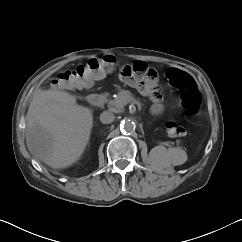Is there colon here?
<instances>
[{
	"label": "colon",
	"mask_w": 242,
	"mask_h": 242,
	"mask_svg": "<svg viewBox=\"0 0 242 242\" xmlns=\"http://www.w3.org/2000/svg\"><path fill=\"white\" fill-rule=\"evenodd\" d=\"M134 63L124 65L120 69L122 70L121 75L125 79L138 80L140 87L146 88L149 92H156L158 90L156 72L145 63H136L135 65ZM117 66L118 62L114 56L90 59L74 69L62 71L53 80L52 86L56 89L68 90L89 88L102 73L105 71L115 72ZM167 79L172 86L180 90L183 108L189 112L197 111L202 98L193 78L182 70L170 68L167 71ZM166 128L168 134L173 137L185 135V130L174 122L168 123Z\"/></svg>",
	"instance_id": "obj_1"
}]
</instances>
